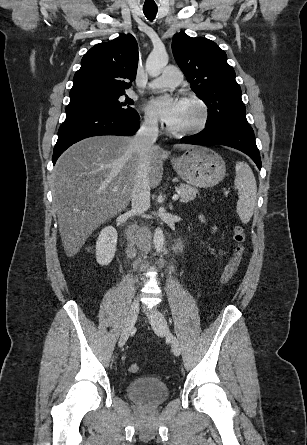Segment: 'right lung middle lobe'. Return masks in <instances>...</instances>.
Instances as JSON below:
<instances>
[{
  "mask_svg": "<svg viewBox=\"0 0 307 445\" xmlns=\"http://www.w3.org/2000/svg\"><path fill=\"white\" fill-rule=\"evenodd\" d=\"M124 94L114 95H92L71 98L69 105L66 107V114L81 111H105L116 112L127 116H138L135 109L130 107L134 102L126 97L125 101L121 100Z\"/></svg>",
  "mask_w": 307,
  "mask_h": 445,
  "instance_id": "obj_1",
  "label": "right lung middle lobe"
}]
</instances>
